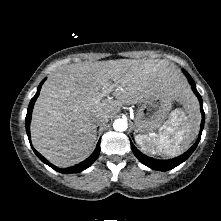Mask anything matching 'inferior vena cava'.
<instances>
[{
	"label": "inferior vena cava",
	"instance_id": "obj_1",
	"mask_svg": "<svg viewBox=\"0 0 221 221\" xmlns=\"http://www.w3.org/2000/svg\"><path fill=\"white\" fill-rule=\"evenodd\" d=\"M108 122V116L105 115V114H98L96 115V118H95V123L98 125L100 124H104Z\"/></svg>",
	"mask_w": 221,
	"mask_h": 221
}]
</instances>
